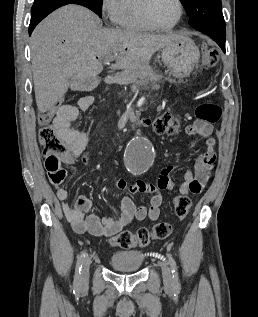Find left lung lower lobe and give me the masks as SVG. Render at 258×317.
Here are the masks:
<instances>
[{"label":"left lung lower lobe","mask_w":258,"mask_h":317,"mask_svg":"<svg viewBox=\"0 0 258 317\" xmlns=\"http://www.w3.org/2000/svg\"><path fill=\"white\" fill-rule=\"evenodd\" d=\"M198 31L211 37L225 52L226 30L222 28H201Z\"/></svg>","instance_id":"1"}]
</instances>
